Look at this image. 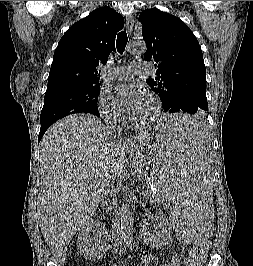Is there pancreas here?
I'll return each instance as SVG.
<instances>
[{
    "instance_id": "cf45deb5",
    "label": "pancreas",
    "mask_w": 253,
    "mask_h": 266,
    "mask_svg": "<svg viewBox=\"0 0 253 266\" xmlns=\"http://www.w3.org/2000/svg\"><path fill=\"white\" fill-rule=\"evenodd\" d=\"M139 179H140L141 181H143L144 184H146V185L144 186V189H145V188L147 187V185H148V181H147V179L144 178V177H139ZM144 195H145L146 198H150V199L154 200V198L151 197V195H150L149 193H145V191H144Z\"/></svg>"
}]
</instances>
